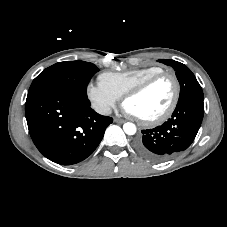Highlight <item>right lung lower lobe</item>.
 Listing matches in <instances>:
<instances>
[{
  "label": "right lung lower lobe",
  "mask_w": 227,
  "mask_h": 227,
  "mask_svg": "<svg viewBox=\"0 0 227 227\" xmlns=\"http://www.w3.org/2000/svg\"><path fill=\"white\" fill-rule=\"evenodd\" d=\"M25 114L35 146L46 158L61 165L87 158L113 122L96 113L84 95L59 89L28 95Z\"/></svg>",
  "instance_id": "right-lung-lower-lobe-1"
}]
</instances>
